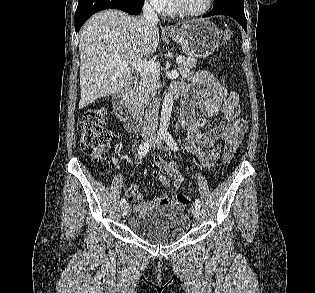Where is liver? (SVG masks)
Segmentation results:
<instances>
[{"label": "liver", "instance_id": "1", "mask_svg": "<svg viewBox=\"0 0 315 293\" xmlns=\"http://www.w3.org/2000/svg\"><path fill=\"white\" fill-rule=\"evenodd\" d=\"M158 43V28L146 31L142 16L118 10L93 15L80 32L79 109L121 91L129 84L134 67L120 61H142L156 51Z\"/></svg>", "mask_w": 315, "mask_h": 293}]
</instances>
